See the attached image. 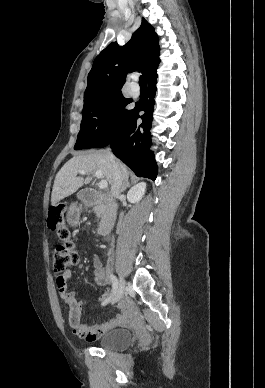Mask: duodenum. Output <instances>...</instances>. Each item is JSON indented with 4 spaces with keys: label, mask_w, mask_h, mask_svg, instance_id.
I'll return each mask as SVG.
<instances>
[{
    "label": "duodenum",
    "mask_w": 265,
    "mask_h": 388,
    "mask_svg": "<svg viewBox=\"0 0 265 388\" xmlns=\"http://www.w3.org/2000/svg\"><path fill=\"white\" fill-rule=\"evenodd\" d=\"M80 199L87 206H101L103 208L98 232L100 235L107 234L114 226L117 217V203L112 195L94 189H86L80 194Z\"/></svg>",
    "instance_id": "1"
}]
</instances>
